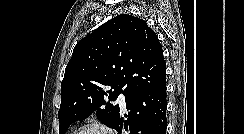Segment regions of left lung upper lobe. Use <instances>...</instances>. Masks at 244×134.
<instances>
[{"instance_id": "obj_1", "label": "left lung upper lobe", "mask_w": 244, "mask_h": 134, "mask_svg": "<svg viewBox=\"0 0 244 134\" xmlns=\"http://www.w3.org/2000/svg\"><path fill=\"white\" fill-rule=\"evenodd\" d=\"M165 84L166 63L156 33L138 17L118 15L81 39L73 50L61 83L59 134L94 112L112 127L119 105L110 101L120 93L127 97Z\"/></svg>"}]
</instances>
